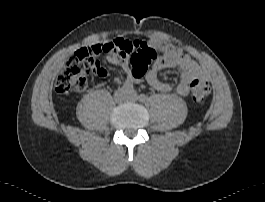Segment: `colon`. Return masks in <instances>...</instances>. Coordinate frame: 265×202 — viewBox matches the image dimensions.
Masks as SVG:
<instances>
[{"mask_svg": "<svg viewBox=\"0 0 265 202\" xmlns=\"http://www.w3.org/2000/svg\"><path fill=\"white\" fill-rule=\"evenodd\" d=\"M110 52H116L129 59L131 75L138 81L145 75L149 63L162 54V49L158 46L140 45L123 39L92 45L65 63L55 80V90L59 93L84 91L91 73L95 72L99 75L104 73L97 57ZM191 93L195 103L204 104L210 95V85L206 81L195 79L191 83Z\"/></svg>", "mask_w": 265, "mask_h": 202, "instance_id": "5ec220e1", "label": "colon"}]
</instances>
